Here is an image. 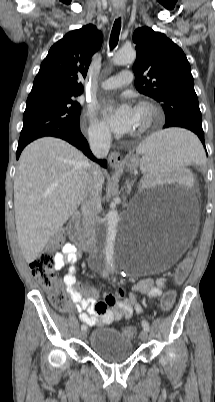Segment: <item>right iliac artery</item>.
I'll use <instances>...</instances> for the list:
<instances>
[{"instance_id": "right-iliac-artery-1", "label": "right iliac artery", "mask_w": 215, "mask_h": 402, "mask_svg": "<svg viewBox=\"0 0 215 402\" xmlns=\"http://www.w3.org/2000/svg\"><path fill=\"white\" fill-rule=\"evenodd\" d=\"M87 328V326L85 325V324H83L82 326H81V330H85Z\"/></svg>"}]
</instances>
